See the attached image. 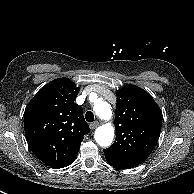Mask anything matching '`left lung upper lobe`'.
<instances>
[{"label":"left lung upper lobe","mask_w":194,"mask_h":194,"mask_svg":"<svg viewBox=\"0 0 194 194\" xmlns=\"http://www.w3.org/2000/svg\"><path fill=\"white\" fill-rule=\"evenodd\" d=\"M162 111L149 93L135 85L117 91L116 139L104 149L105 157L133 168L144 162L160 136Z\"/></svg>","instance_id":"left-lung-upper-lobe-1"}]
</instances>
